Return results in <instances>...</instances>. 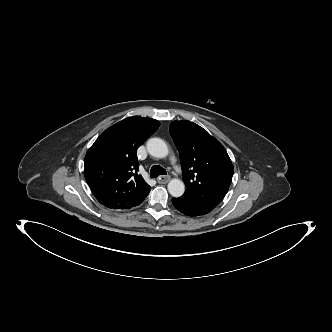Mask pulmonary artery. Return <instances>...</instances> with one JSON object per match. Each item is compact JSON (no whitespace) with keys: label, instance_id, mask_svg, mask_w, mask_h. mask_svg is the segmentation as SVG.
Instances as JSON below:
<instances>
[{"label":"pulmonary artery","instance_id":"e3ab8cb5","mask_svg":"<svg viewBox=\"0 0 332 332\" xmlns=\"http://www.w3.org/2000/svg\"><path fill=\"white\" fill-rule=\"evenodd\" d=\"M172 163L175 164V159H172Z\"/></svg>","mask_w":332,"mask_h":332}]
</instances>
